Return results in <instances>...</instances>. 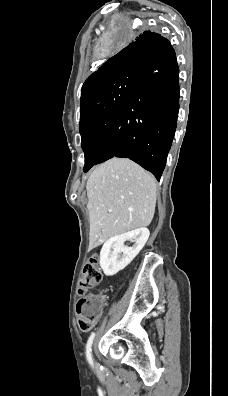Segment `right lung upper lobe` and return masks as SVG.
<instances>
[{"label": "right lung upper lobe", "mask_w": 228, "mask_h": 396, "mask_svg": "<svg viewBox=\"0 0 228 396\" xmlns=\"http://www.w3.org/2000/svg\"><path fill=\"white\" fill-rule=\"evenodd\" d=\"M165 42L168 40L155 32L145 31L139 35L87 78L82 86L81 102L102 83L119 75L141 70L143 61Z\"/></svg>", "instance_id": "1"}]
</instances>
